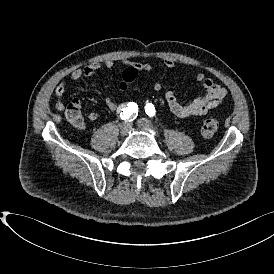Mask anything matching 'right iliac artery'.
Wrapping results in <instances>:
<instances>
[{
  "label": "right iliac artery",
  "mask_w": 274,
  "mask_h": 274,
  "mask_svg": "<svg viewBox=\"0 0 274 274\" xmlns=\"http://www.w3.org/2000/svg\"><path fill=\"white\" fill-rule=\"evenodd\" d=\"M138 107L136 103H129L127 107L122 109L120 117L122 120L133 121L138 115Z\"/></svg>",
  "instance_id": "right-iliac-artery-1"
}]
</instances>
